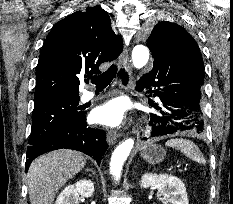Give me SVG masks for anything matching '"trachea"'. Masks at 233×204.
<instances>
[{"label": "trachea", "instance_id": "3493384b", "mask_svg": "<svg viewBox=\"0 0 233 204\" xmlns=\"http://www.w3.org/2000/svg\"><path fill=\"white\" fill-rule=\"evenodd\" d=\"M116 74H117V66L112 65L104 73L98 76H94L91 79V83L95 84L97 89H104L106 86H108L111 83V81L116 76ZM118 76L122 79V82L124 85L128 84L129 77H128L127 72H125L124 69H121L120 72H118Z\"/></svg>", "mask_w": 233, "mask_h": 204}]
</instances>
